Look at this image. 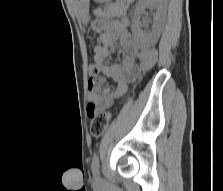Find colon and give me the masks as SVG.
Instances as JSON below:
<instances>
[{"mask_svg": "<svg viewBox=\"0 0 223 191\" xmlns=\"http://www.w3.org/2000/svg\"><path fill=\"white\" fill-rule=\"evenodd\" d=\"M99 74V66L93 62L89 65V75L91 78H96ZM90 114L93 115L92 121H91V133L95 137L102 136L111 119L113 116V113L111 111H100L96 113V109L91 107L89 109Z\"/></svg>", "mask_w": 223, "mask_h": 191, "instance_id": "5ec220e1", "label": "colon"}]
</instances>
